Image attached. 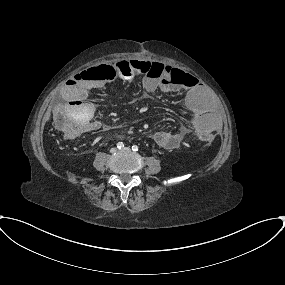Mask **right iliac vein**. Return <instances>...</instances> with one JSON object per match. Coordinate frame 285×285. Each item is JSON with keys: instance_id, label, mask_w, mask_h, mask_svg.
Wrapping results in <instances>:
<instances>
[{"instance_id": "1", "label": "right iliac vein", "mask_w": 285, "mask_h": 285, "mask_svg": "<svg viewBox=\"0 0 285 285\" xmlns=\"http://www.w3.org/2000/svg\"><path fill=\"white\" fill-rule=\"evenodd\" d=\"M116 151H117V149L114 147L110 149V153H115Z\"/></svg>"}]
</instances>
